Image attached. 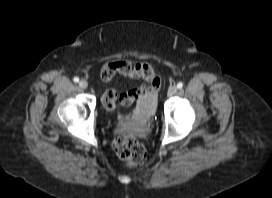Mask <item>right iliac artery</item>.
I'll return each instance as SVG.
<instances>
[{
  "instance_id": "1",
  "label": "right iliac artery",
  "mask_w": 272,
  "mask_h": 198,
  "mask_svg": "<svg viewBox=\"0 0 272 198\" xmlns=\"http://www.w3.org/2000/svg\"><path fill=\"white\" fill-rule=\"evenodd\" d=\"M73 81L77 83V82H79V78L78 77H74Z\"/></svg>"
}]
</instances>
